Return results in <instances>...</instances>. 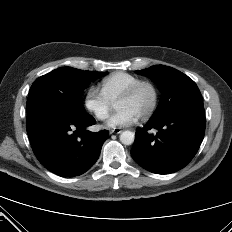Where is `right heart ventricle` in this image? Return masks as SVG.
<instances>
[{"label":"right heart ventricle","mask_w":232,"mask_h":232,"mask_svg":"<svg viewBox=\"0 0 232 232\" xmlns=\"http://www.w3.org/2000/svg\"><path fill=\"white\" fill-rule=\"evenodd\" d=\"M142 80L140 77L127 72H114L104 77L99 84L100 92L114 103L133 84Z\"/></svg>","instance_id":"obj_1"}]
</instances>
